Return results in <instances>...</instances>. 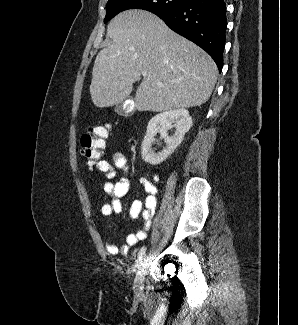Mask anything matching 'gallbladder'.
<instances>
[{"instance_id":"bac80fb5","label":"gallbladder","mask_w":298,"mask_h":325,"mask_svg":"<svg viewBox=\"0 0 298 325\" xmlns=\"http://www.w3.org/2000/svg\"><path fill=\"white\" fill-rule=\"evenodd\" d=\"M124 104L125 102H119V104H116L114 108L115 112H117V114H121V116H126V114H128L124 108Z\"/></svg>"}]
</instances>
